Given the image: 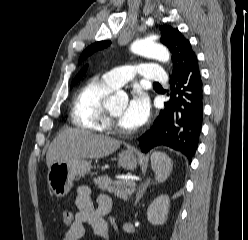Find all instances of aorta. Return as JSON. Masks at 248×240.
Masks as SVG:
<instances>
[{
    "mask_svg": "<svg viewBox=\"0 0 248 240\" xmlns=\"http://www.w3.org/2000/svg\"><path fill=\"white\" fill-rule=\"evenodd\" d=\"M131 51L135 54L154 58L161 62H168L170 59V53L166 47L156 43L151 38L141 39L135 41L131 45ZM126 95L122 91H118L115 96L110 98V103H115L118 99L124 98Z\"/></svg>",
    "mask_w": 248,
    "mask_h": 240,
    "instance_id": "obj_1",
    "label": "aorta"
}]
</instances>
